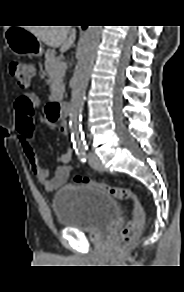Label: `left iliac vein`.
Masks as SVG:
<instances>
[{
  "label": "left iliac vein",
  "instance_id": "1",
  "mask_svg": "<svg viewBox=\"0 0 184 292\" xmlns=\"http://www.w3.org/2000/svg\"><path fill=\"white\" fill-rule=\"evenodd\" d=\"M88 161L93 169L103 171V165L100 159L94 153L89 154Z\"/></svg>",
  "mask_w": 184,
  "mask_h": 292
}]
</instances>
